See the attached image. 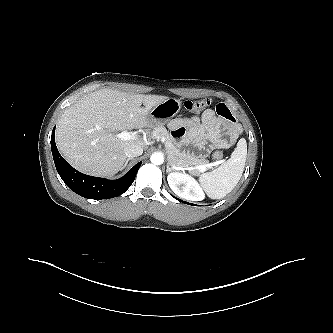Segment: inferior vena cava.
Instances as JSON below:
<instances>
[{
  "mask_svg": "<svg viewBox=\"0 0 333 333\" xmlns=\"http://www.w3.org/2000/svg\"><path fill=\"white\" fill-rule=\"evenodd\" d=\"M143 148L138 145H130L125 148V155L128 158H133L142 155Z\"/></svg>",
  "mask_w": 333,
  "mask_h": 333,
  "instance_id": "602c4592",
  "label": "inferior vena cava"
}]
</instances>
